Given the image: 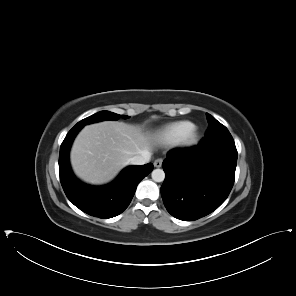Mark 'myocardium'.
Returning a JSON list of instances; mask_svg holds the SVG:
<instances>
[{
  "label": "myocardium",
  "instance_id": "1",
  "mask_svg": "<svg viewBox=\"0 0 296 296\" xmlns=\"http://www.w3.org/2000/svg\"><path fill=\"white\" fill-rule=\"evenodd\" d=\"M198 139H199L198 129L193 126L190 130L187 131V133L181 139L180 144L182 146H193L197 143Z\"/></svg>",
  "mask_w": 296,
  "mask_h": 296
}]
</instances>
